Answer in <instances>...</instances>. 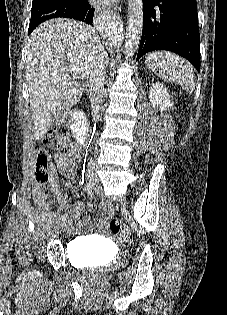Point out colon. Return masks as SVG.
<instances>
[{
	"mask_svg": "<svg viewBox=\"0 0 227 315\" xmlns=\"http://www.w3.org/2000/svg\"><path fill=\"white\" fill-rule=\"evenodd\" d=\"M70 135L65 126H54L50 129L48 135L44 139V145L52 150L66 153L69 148ZM52 164L48 153L39 148L35 152V168L33 179L37 184L43 185L48 182L52 174ZM110 230L115 234L123 236L130 235L129 229L118 219H113L109 224Z\"/></svg>",
	"mask_w": 227,
	"mask_h": 315,
	"instance_id": "colon-1",
	"label": "colon"
}]
</instances>
